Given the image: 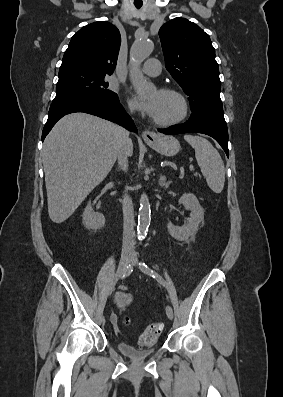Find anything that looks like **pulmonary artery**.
<instances>
[{"instance_id":"e3ab8cb5","label":"pulmonary artery","mask_w":283,"mask_h":397,"mask_svg":"<svg viewBox=\"0 0 283 397\" xmlns=\"http://www.w3.org/2000/svg\"><path fill=\"white\" fill-rule=\"evenodd\" d=\"M143 72L148 76H158L161 73L160 62L155 58L148 59L143 66Z\"/></svg>"}]
</instances>
